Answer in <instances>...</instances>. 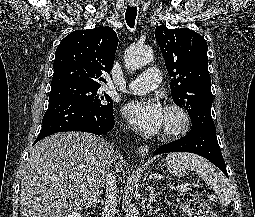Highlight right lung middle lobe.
I'll return each instance as SVG.
<instances>
[{
	"mask_svg": "<svg viewBox=\"0 0 255 217\" xmlns=\"http://www.w3.org/2000/svg\"><path fill=\"white\" fill-rule=\"evenodd\" d=\"M99 88L100 87L85 86L80 84L58 85L51 87L49 100L65 98L80 102L98 110H112L113 102L111 98L106 94H104V96L97 95Z\"/></svg>",
	"mask_w": 255,
	"mask_h": 217,
	"instance_id": "right-lung-middle-lobe-1",
	"label": "right lung middle lobe"
}]
</instances>
